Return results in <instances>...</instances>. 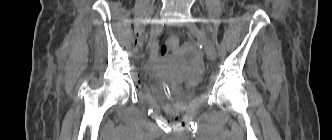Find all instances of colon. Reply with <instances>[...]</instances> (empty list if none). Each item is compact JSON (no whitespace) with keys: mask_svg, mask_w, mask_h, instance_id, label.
Listing matches in <instances>:
<instances>
[{"mask_svg":"<svg viewBox=\"0 0 332 140\" xmlns=\"http://www.w3.org/2000/svg\"><path fill=\"white\" fill-rule=\"evenodd\" d=\"M179 39L175 36L169 37L160 47V54L166 55L169 52L175 51L179 47Z\"/></svg>","mask_w":332,"mask_h":140,"instance_id":"5ec220e1","label":"colon"}]
</instances>
